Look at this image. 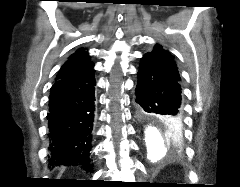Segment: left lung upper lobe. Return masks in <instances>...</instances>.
Instances as JSON below:
<instances>
[{"instance_id": "left-lung-upper-lobe-1", "label": "left lung upper lobe", "mask_w": 240, "mask_h": 187, "mask_svg": "<svg viewBox=\"0 0 240 187\" xmlns=\"http://www.w3.org/2000/svg\"><path fill=\"white\" fill-rule=\"evenodd\" d=\"M145 55L151 56L154 60H156L173 78L180 81L179 72L177 69L176 62L174 61L172 55L169 51L163 49V47L159 44L155 45L152 52H149ZM164 132L166 137L173 143L177 145V147H181L182 145V129L178 130L175 134V138L173 135H170L169 130L166 128L164 121L160 119L153 120Z\"/></svg>"}]
</instances>
